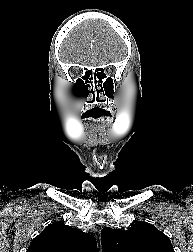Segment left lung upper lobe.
Masks as SVG:
<instances>
[{
	"label": "left lung upper lobe",
	"instance_id": "left-lung-upper-lobe-1",
	"mask_svg": "<svg viewBox=\"0 0 193 252\" xmlns=\"http://www.w3.org/2000/svg\"><path fill=\"white\" fill-rule=\"evenodd\" d=\"M103 252H174L170 239L155 226L137 223L128 230L106 227L101 232Z\"/></svg>",
	"mask_w": 193,
	"mask_h": 252
}]
</instances>
